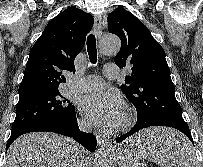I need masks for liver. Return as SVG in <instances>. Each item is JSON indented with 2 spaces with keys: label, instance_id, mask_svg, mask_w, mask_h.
I'll use <instances>...</instances> for the list:
<instances>
[{
  "label": "liver",
  "instance_id": "1",
  "mask_svg": "<svg viewBox=\"0 0 203 167\" xmlns=\"http://www.w3.org/2000/svg\"><path fill=\"white\" fill-rule=\"evenodd\" d=\"M170 137L179 133L163 129ZM154 135L151 132L145 138L134 136L127 143H139ZM86 167L88 162L84 150L71 138L57 134L35 132L17 138L7 151L4 167Z\"/></svg>",
  "mask_w": 203,
  "mask_h": 167
}]
</instances>
